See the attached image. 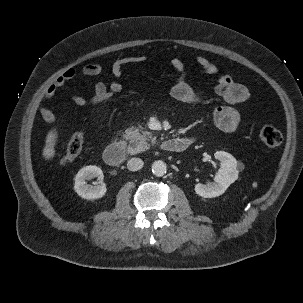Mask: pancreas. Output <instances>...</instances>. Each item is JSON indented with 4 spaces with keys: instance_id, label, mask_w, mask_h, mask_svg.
Masks as SVG:
<instances>
[{
    "instance_id": "pancreas-1",
    "label": "pancreas",
    "mask_w": 303,
    "mask_h": 303,
    "mask_svg": "<svg viewBox=\"0 0 303 303\" xmlns=\"http://www.w3.org/2000/svg\"><path fill=\"white\" fill-rule=\"evenodd\" d=\"M124 139L129 142L128 153L132 155L148 149L150 143L154 144L156 142V137L153 136L152 132L136 127L128 128L125 131Z\"/></svg>"
}]
</instances>
